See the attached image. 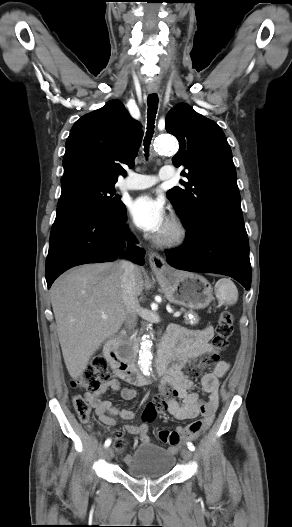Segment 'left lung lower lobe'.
Returning <instances> with one entry per match:
<instances>
[{
  "label": "left lung lower lobe",
  "instance_id": "obj_1",
  "mask_svg": "<svg viewBox=\"0 0 292 527\" xmlns=\"http://www.w3.org/2000/svg\"><path fill=\"white\" fill-rule=\"evenodd\" d=\"M186 230L184 244L165 251L171 266L224 274L250 289L249 242L243 219H211Z\"/></svg>",
  "mask_w": 292,
  "mask_h": 527
}]
</instances>
